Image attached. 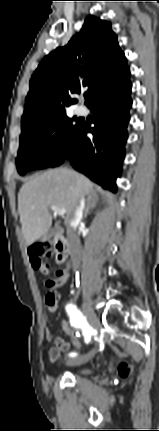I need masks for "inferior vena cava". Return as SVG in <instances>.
<instances>
[{"mask_svg":"<svg viewBox=\"0 0 159 431\" xmlns=\"http://www.w3.org/2000/svg\"><path fill=\"white\" fill-rule=\"evenodd\" d=\"M84 206H85V200H84V197H82L80 199L78 206L76 207L74 218L70 222V226L68 228V237L71 245L72 258L74 261H78L80 259L82 247H81L80 239L74 233L73 226L79 224L83 215Z\"/></svg>","mask_w":159,"mask_h":431,"instance_id":"obj_1","label":"inferior vena cava"}]
</instances>
